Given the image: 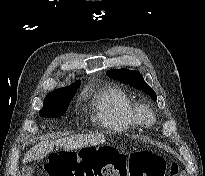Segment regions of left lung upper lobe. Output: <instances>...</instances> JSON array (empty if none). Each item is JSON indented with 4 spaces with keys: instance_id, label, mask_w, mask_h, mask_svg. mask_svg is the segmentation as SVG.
I'll return each mask as SVG.
<instances>
[{
    "instance_id": "left-lung-upper-lobe-1",
    "label": "left lung upper lobe",
    "mask_w": 205,
    "mask_h": 176,
    "mask_svg": "<svg viewBox=\"0 0 205 176\" xmlns=\"http://www.w3.org/2000/svg\"><path fill=\"white\" fill-rule=\"evenodd\" d=\"M108 75L118 79L126 84H129L139 90H142L151 98L156 101V93L154 90L144 81L142 75L138 71H131L128 69H114L108 70Z\"/></svg>"
}]
</instances>
